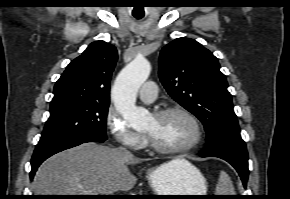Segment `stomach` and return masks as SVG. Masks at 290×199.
Segmentation results:
<instances>
[{"mask_svg": "<svg viewBox=\"0 0 290 199\" xmlns=\"http://www.w3.org/2000/svg\"><path fill=\"white\" fill-rule=\"evenodd\" d=\"M150 186L157 195H206L207 182L202 173L191 163L175 166L162 164L147 174ZM166 198L197 199L199 196H169Z\"/></svg>", "mask_w": 290, "mask_h": 199, "instance_id": "obj_1", "label": "stomach"}]
</instances>
